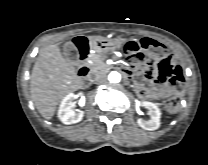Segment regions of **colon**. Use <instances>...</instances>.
I'll return each mask as SVG.
<instances>
[{
    "mask_svg": "<svg viewBox=\"0 0 208 165\" xmlns=\"http://www.w3.org/2000/svg\"><path fill=\"white\" fill-rule=\"evenodd\" d=\"M72 47L75 48L76 45H73ZM77 47L81 52H84L85 45L83 42L78 43ZM124 50L127 58L136 66L145 64L150 56L155 57L159 62L160 59L163 58L167 53L164 45L155 40L147 38L140 41H128L125 44ZM180 91H176V94L165 102V108L167 111L175 112L179 109L180 96L178 93Z\"/></svg>",
    "mask_w": 208,
    "mask_h": 165,
    "instance_id": "colon-1",
    "label": "colon"
}]
</instances>
